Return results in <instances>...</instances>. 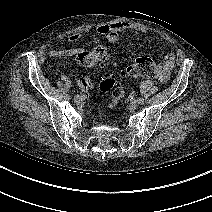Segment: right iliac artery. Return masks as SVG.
I'll return each instance as SVG.
<instances>
[{
    "label": "right iliac artery",
    "mask_w": 212,
    "mask_h": 212,
    "mask_svg": "<svg viewBox=\"0 0 212 212\" xmlns=\"http://www.w3.org/2000/svg\"><path fill=\"white\" fill-rule=\"evenodd\" d=\"M65 99H68L69 100V99H71V96L69 94H66L65 95Z\"/></svg>",
    "instance_id": "right-iliac-artery-1"
}]
</instances>
